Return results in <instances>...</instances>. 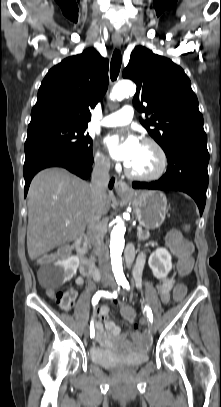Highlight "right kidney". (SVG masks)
I'll return each mask as SVG.
<instances>
[{
  "label": "right kidney",
  "instance_id": "obj_1",
  "mask_svg": "<svg viewBox=\"0 0 221 407\" xmlns=\"http://www.w3.org/2000/svg\"><path fill=\"white\" fill-rule=\"evenodd\" d=\"M79 266V258L71 256L65 260H60L55 263V273L58 283L64 284L71 280L76 275Z\"/></svg>",
  "mask_w": 221,
  "mask_h": 407
}]
</instances>
